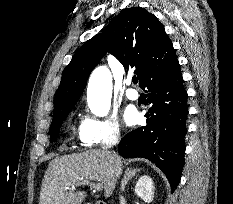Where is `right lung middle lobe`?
<instances>
[{"instance_id":"dd1d6c3e","label":"right lung middle lobe","mask_w":233,"mask_h":204,"mask_svg":"<svg viewBox=\"0 0 233 204\" xmlns=\"http://www.w3.org/2000/svg\"><path fill=\"white\" fill-rule=\"evenodd\" d=\"M70 111L66 112L65 114L61 115L52 120L50 126V142L55 141L59 135V129L61 127L62 122L66 119Z\"/></svg>"}]
</instances>
